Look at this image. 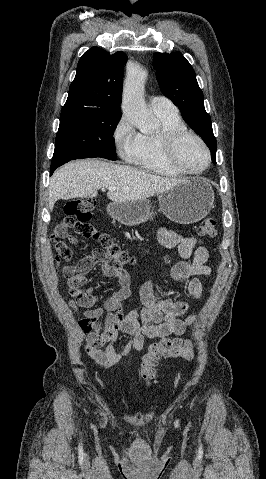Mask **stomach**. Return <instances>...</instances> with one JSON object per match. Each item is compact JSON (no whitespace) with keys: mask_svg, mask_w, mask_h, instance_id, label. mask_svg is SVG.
Wrapping results in <instances>:
<instances>
[{"mask_svg":"<svg viewBox=\"0 0 266 479\" xmlns=\"http://www.w3.org/2000/svg\"><path fill=\"white\" fill-rule=\"evenodd\" d=\"M161 212L171 221L192 224L203 219L214 203L211 185L203 179H188L159 197ZM109 215L124 225H136L152 219L154 211L148 200L112 202L107 206Z\"/></svg>","mask_w":266,"mask_h":479,"instance_id":"0dacf381","label":"stomach"}]
</instances>
